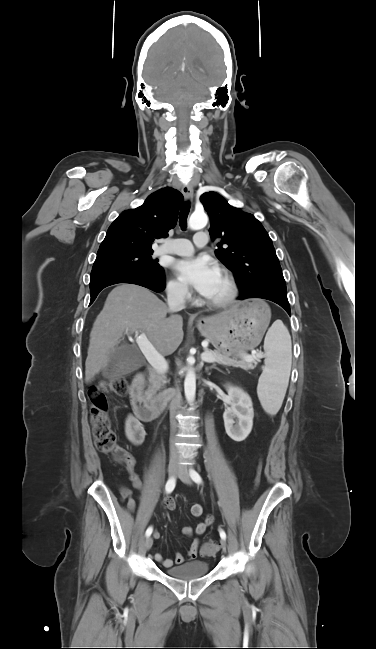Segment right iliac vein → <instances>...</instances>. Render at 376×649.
Returning <instances> with one entry per match:
<instances>
[{"label":"right iliac vein","mask_w":376,"mask_h":649,"mask_svg":"<svg viewBox=\"0 0 376 649\" xmlns=\"http://www.w3.org/2000/svg\"><path fill=\"white\" fill-rule=\"evenodd\" d=\"M177 468H178L177 463H176V462H171V463L169 464V466H168V473H169V475H170V476H174L175 473L177 472ZM152 544H153V539H152V537H150V536L147 537V539H146V541H145V549H146V550H149V549L151 548Z\"/></svg>","instance_id":"63e3f726"}]
</instances>
